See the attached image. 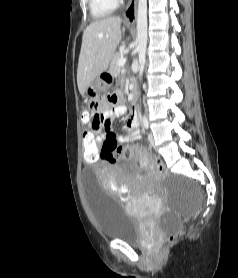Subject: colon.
Here are the masks:
<instances>
[{
  "mask_svg": "<svg viewBox=\"0 0 238 278\" xmlns=\"http://www.w3.org/2000/svg\"><path fill=\"white\" fill-rule=\"evenodd\" d=\"M107 100H117L116 96H108ZM96 109L93 104L89 105L83 112V118L87 123H91L95 117ZM83 136H93V131H83ZM83 155L86 162H97L98 159H106L111 163H115L122 158H129L135 156L146 157L149 164L155 169L157 174L161 177L167 176V169L163 161L159 158L149 157L145 151L136 146L121 147L115 142L106 144L103 137H83ZM181 235L180 231H176L169 235L168 242L176 241Z\"/></svg>",
  "mask_w": 238,
  "mask_h": 278,
  "instance_id": "5ec220e1",
  "label": "colon"
}]
</instances>
